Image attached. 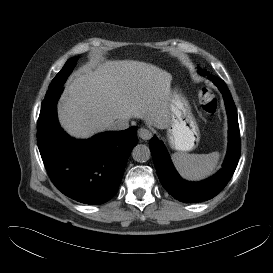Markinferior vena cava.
I'll list each match as a JSON object with an SVG mask.
<instances>
[{"mask_svg":"<svg viewBox=\"0 0 273 273\" xmlns=\"http://www.w3.org/2000/svg\"><path fill=\"white\" fill-rule=\"evenodd\" d=\"M128 127H129V122L127 119H118L112 122L108 128L110 130H124V129H127Z\"/></svg>","mask_w":273,"mask_h":273,"instance_id":"obj_1","label":"inferior vena cava"}]
</instances>
